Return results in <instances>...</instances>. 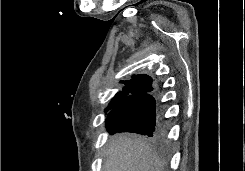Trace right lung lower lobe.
<instances>
[{
  "label": "right lung lower lobe",
  "mask_w": 245,
  "mask_h": 171,
  "mask_svg": "<svg viewBox=\"0 0 245 171\" xmlns=\"http://www.w3.org/2000/svg\"><path fill=\"white\" fill-rule=\"evenodd\" d=\"M162 108L152 94L121 101L107 115L109 133L135 132L161 138L163 135Z\"/></svg>",
  "instance_id": "right-lung-lower-lobe-1"
}]
</instances>
